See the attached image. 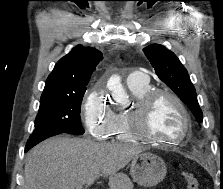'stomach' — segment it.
Masks as SVG:
<instances>
[{
    "instance_id": "1",
    "label": "stomach",
    "mask_w": 223,
    "mask_h": 189,
    "mask_svg": "<svg viewBox=\"0 0 223 189\" xmlns=\"http://www.w3.org/2000/svg\"><path fill=\"white\" fill-rule=\"evenodd\" d=\"M167 173L164 161L150 152L135 156L130 164V174L135 182L144 187L155 186L161 182ZM126 181L129 182L126 177Z\"/></svg>"
}]
</instances>
